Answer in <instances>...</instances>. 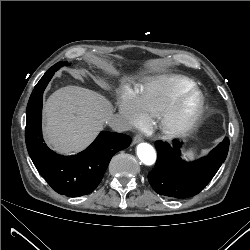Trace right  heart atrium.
Returning a JSON list of instances; mask_svg holds the SVG:
<instances>
[{
    "label": "right heart atrium",
    "mask_w": 250,
    "mask_h": 250,
    "mask_svg": "<svg viewBox=\"0 0 250 250\" xmlns=\"http://www.w3.org/2000/svg\"><path fill=\"white\" fill-rule=\"evenodd\" d=\"M120 113L129 127L142 126L146 122L136 95L129 91H126L121 98Z\"/></svg>",
    "instance_id": "1"
}]
</instances>
